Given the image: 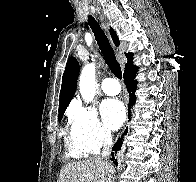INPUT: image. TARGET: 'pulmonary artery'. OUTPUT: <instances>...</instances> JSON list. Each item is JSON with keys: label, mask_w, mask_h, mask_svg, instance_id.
<instances>
[{"label": "pulmonary artery", "mask_w": 196, "mask_h": 182, "mask_svg": "<svg viewBox=\"0 0 196 182\" xmlns=\"http://www.w3.org/2000/svg\"><path fill=\"white\" fill-rule=\"evenodd\" d=\"M102 91L107 95H117L121 91L119 82L114 77H107L101 85Z\"/></svg>", "instance_id": "pulmonary-artery-1"}]
</instances>
